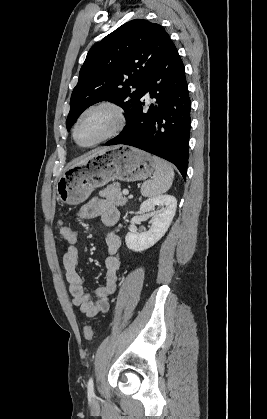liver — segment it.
I'll list each match as a JSON object with an SVG mask.
<instances>
[{
    "label": "liver",
    "mask_w": 267,
    "mask_h": 419,
    "mask_svg": "<svg viewBox=\"0 0 267 419\" xmlns=\"http://www.w3.org/2000/svg\"><path fill=\"white\" fill-rule=\"evenodd\" d=\"M107 149L108 148H101V149L93 150L87 157H85L84 159H82L80 162H78L76 164H81V163L85 162L86 160H88L89 158H92V157L96 156L97 154L105 152Z\"/></svg>",
    "instance_id": "liver-1"
}]
</instances>
